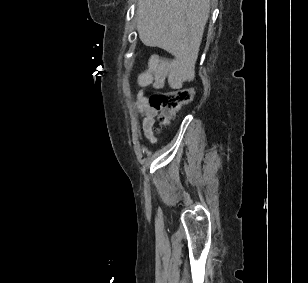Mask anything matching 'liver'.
Returning <instances> with one entry per match:
<instances>
[{"instance_id": "6515ba94", "label": "liver", "mask_w": 308, "mask_h": 283, "mask_svg": "<svg viewBox=\"0 0 308 283\" xmlns=\"http://www.w3.org/2000/svg\"><path fill=\"white\" fill-rule=\"evenodd\" d=\"M209 11L210 0H138L136 28L144 45L193 66Z\"/></svg>"}]
</instances>
